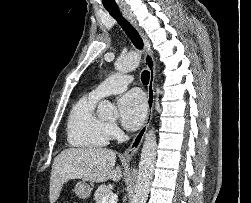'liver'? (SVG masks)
<instances>
[{"label":"liver","instance_id":"1","mask_svg":"<svg viewBox=\"0 0 251 203\" xmlns=\"http://www.w3.org/2000/svg\"><path fill=\"white\" fill-rule=\"evenodd\" d=\"M116 153L106 148H68L63 150L52 165L50 178V203H54L63 184L70 179L101 183L118 182L122 178L120 166L114 168Z\"/></svg>","mask_w":251,"mask_h":203}]
</instances>
